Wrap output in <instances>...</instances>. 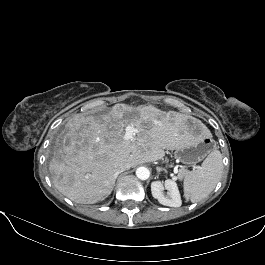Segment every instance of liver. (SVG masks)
Returning a JSON list of instances; mask_svg holds the SVG:
<instances>
[{"label":"liver","mask_w":265,"mask_h":265,"mask_svg":"<svg viewBox=\"0 0 265 265\" xmlns=\"http://www.w3.org/2000/svg\"><path fill=\"white\" fill-rule=\"evenodd\" d=\"M193 119L154 106L132 109L125 104L96 116L75 115L64 125L49 163L54 186L77 203L102 201L113 190L120 163L136 167L160 160L165 149L184 147L194 138L186 126ZM126 124L138 130L132 140L124 139Z\"/></svg>","instance_id":"6515ba94"}]
</instances>
